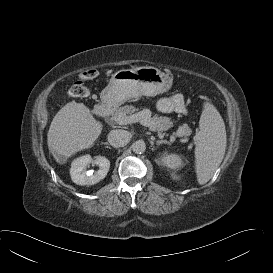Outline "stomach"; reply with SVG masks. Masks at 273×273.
Here are the masks:
<instances>
[{
    "instance_id": "obj_1",
    "label": "stomach",
    "mask_w": 273,
    "mask_h": 273,
    "mask_svg": "<svg viewBox=\"0 0 273 273\" xmlns=\"http://www.w3.org/2000/svg\"><path fill=\"white\" fill-rule=\"evenodd\" d=\"M172 84L173 78L168 73L153 66L121 69L112 75L100 98L105 107L115 108L140 96L164 94Z\"/></svg>"
}]
</instances>
